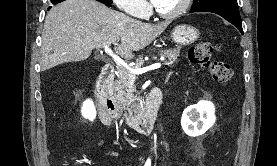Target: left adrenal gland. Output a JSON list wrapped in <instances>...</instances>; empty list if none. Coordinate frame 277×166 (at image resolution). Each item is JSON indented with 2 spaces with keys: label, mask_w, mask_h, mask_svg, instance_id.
Here are the masks:
<instances>
[{
  "label": "left adrenal gland",
  "mask_w": 277,
  "mask_h": 166,
  "mask_svg": "<svg viewBox=\"0 0 277 166\" xmlns=\"http://www.w3.org/2000/svg\"><path fill=\"white\" fill-rule=\"evenodd\" d=\"M171 72L167 75L166 77V82H168L169 78H170Z\"/></svg>",
  "instance_id": "left-adrenal-gland-1"
}]
</instances>
